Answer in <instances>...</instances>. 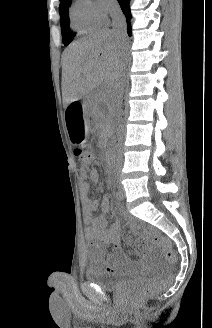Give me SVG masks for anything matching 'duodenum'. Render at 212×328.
<instances>
[{"mask_svg":"<svg viewBox=\"0 0 212 328\" xmlns=\"http://www.w3.org/2000/svg\"><path fill=\"white\" fill-rule=\"evenodd\" d=\"M107 160H108V161L110 160L109 155H107Z\"/></svg>","mask_w":212,"mask_h":328,"instance_id":"obj_1","label":"duodenum"}]
</instances>
